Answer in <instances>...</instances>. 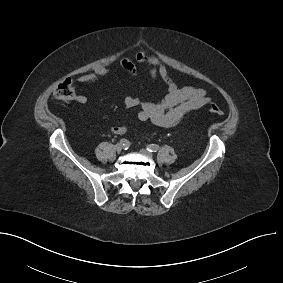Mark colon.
Segmentation results:
<instances>
[{
  "label": "colon",
  "instance_id": "colon-1",
  "mask_svg": "<svg viewBox=\"0 0 283 283\" xmlns=\"http://www.w3.org/2000/svg\"><path fill=\"white\" fill-rule=\"evenodd\" d=\"M74 96H75V90L71 80L69 79L62 81L54 91V97L62 102H70L74 99ZM208 109L212 114L216 116L223 115L222 109L216 104L213 103L209 104Z\"/></svg>",
  "mask_w": 283,
  "mask_h": 283
}]
</instances>
